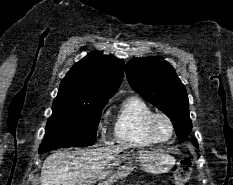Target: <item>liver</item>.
Masks as SVG:
<instances>
[{
  "label": "liver",
  "mask_w": 233,
  "mask_h": 185,
  "mask_svg": "<svg viewBox=\"0 0 233 185\" xmlns=\"http://www.w3.org/2000/svg\"><path fill=\"white\" fill-rule=\"evenodd\" d=\"M125 146L56 152L43 163L41 185H77L104 170Z\"/></svg>",
  "instance_id": "6515ba94"
}]
</instances>
